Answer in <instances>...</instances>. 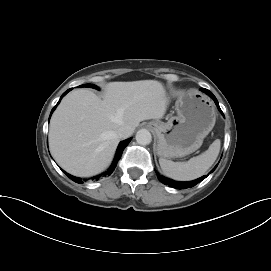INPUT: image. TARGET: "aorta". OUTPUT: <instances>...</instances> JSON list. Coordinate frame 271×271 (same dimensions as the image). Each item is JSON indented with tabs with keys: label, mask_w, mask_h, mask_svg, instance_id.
Segmentation results:
<instances>
[{
	"label": "aorta",
	"mask_w": 271,
	"mask_h": 271,
	"mask_svg": "<svg viewBox=\"0 0 271 271\" xmlns=\"http://www.w3.org/2000/svg\"><path fill=\"white\" fill-rule=\"evenodd\" d=\"M136 141L140 145H148L152 141L151 133L147 129H140L136 133Z\"/></svg>",
	"instance_id": "1"
}]
</instances>
